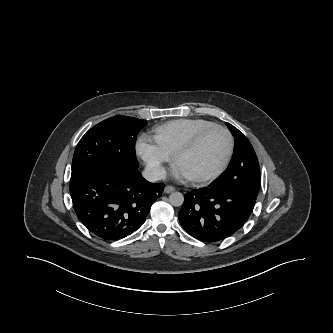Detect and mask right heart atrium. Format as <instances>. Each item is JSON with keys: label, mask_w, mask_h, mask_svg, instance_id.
Masks as SVG:
<instances>
[{"label": "right heart atrium", "mask_w": 333, "mask_h": 333, "mask_svg": "<svg viewBox=\"0 0 333 333\" xmlns=\"http://www.w3.org/2000/svg\"><path fill=\"white\" fill-rule=\"evenodd\" d=\"M137 155L143 160L148 171L154 178L164 175V165L170 160V155L146 137H141L136 145Z\"/></svg>", "instance_id": "d8ad5b80"}]
</instances>
